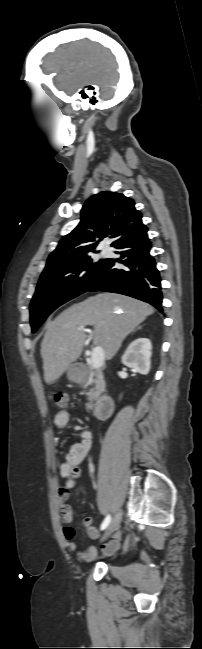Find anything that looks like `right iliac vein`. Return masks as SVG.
<instances>
[{
    "instance_id": "63e3f726",
    "label": "right iliac vein",
    "mask_w": 202,
    "mask_h": 649,
    "mask_svg": "<svg viewBox=\"0 0 202 649\" xmlns=\"http://www.w3.org/2000/svg\"><path fill=\"white\" fill-rule=\"evenodd\" d=\"M121 518H122V513H121V511L116 512V514L114 515L113 519L111 520V522H110L109 525L107 526V529H106V531H105V533H104V535H103V537H102V539H101L102 541L105 540V539H107V537H108L111 533H113L115 530L118 529L119 524H120V522H121Z\"/></svg>"
}]
</instances>
